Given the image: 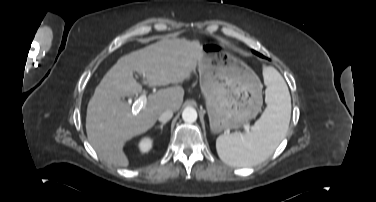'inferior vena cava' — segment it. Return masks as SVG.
<instances>
[{
    "label": "inferior vena cava",
    "instance_id": "602c4592",
    "mask_svg": "<svg viewBox=\"0 0 376 202\" xmlns=\"http://www.w3.org/2000/svg\"><path fill=\"white\" fill-rule=\"evenodd\" d=\"M173 117V111L172 110H165L159 117L158 120L162 123L168 122Z\"/></svg>",
    "mask_w": 376,
    "mask_h": 202
}]
</instances>
